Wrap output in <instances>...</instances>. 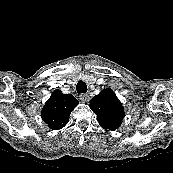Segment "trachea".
I'll return each instance as SVG.
<instances>
[{"label":"trachea","mask_w":173,"mask_h":173,"mask_svg":"<svg viewBox=\"0 0 173 173\" xmlns=\"http://www.w3.org/2000/svg\"><path fill=\"white\" fill-rule=\"evenodd\" d=\"M76 90L78 93H86L87 92V85L84 81H79L76 85Z\"/></svg>","instance_id":"obj_1"}]
</instances>
